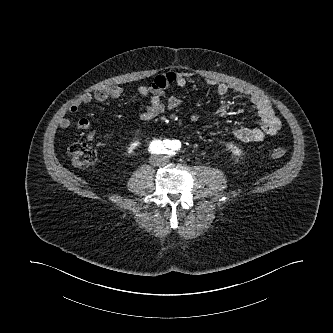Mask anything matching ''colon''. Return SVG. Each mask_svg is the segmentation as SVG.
Segmentation results:
<instances>
[{
	"label": "colon",
	"mask_w": 333,
	"mask_h": 333,
	"mask_svg": "<svg viewBox=\"0 0 333 333\" xmlns=\"http://www.w3.org/2000/svg\"><path fill=\"white\" fill-rule=\"evenodd\" d=\"M287 151L284 148H275L265 156L270 159H282ZM68 154L74 166L83 168L93 164L97 159L95 148L88 142L75 143L68 149Z\"/></svg>",
	"instance_id": "obj_1"
}]
</instances>
